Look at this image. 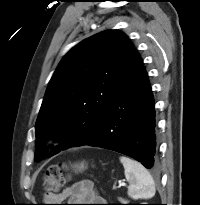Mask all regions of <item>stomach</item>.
I'll return each mask as SVG.
<instances>
[{"label":"stomach","mask_w":200,"mask_h":205,"mask_svg":"<svg viewBox=\"0 0 200 205\" xmlns=\"http://www.w3.org/2000/svg\"><path fill=\"white\" fill-rule=\"evenodd\" d=\"M84 168H85L84 162H82V163H80V164H75V165H74L75 171H82Z\"/></svg>","instance_id":"1"}]
</instances>
